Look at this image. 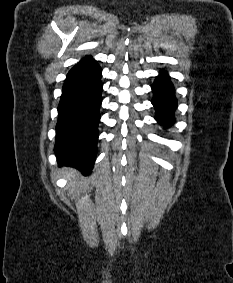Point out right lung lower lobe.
Listing matches in <instances>:
<instances>
[{
	"instance_id": "98d812e1",
	"label": "right lung lower lobe",
	"mask_w": 233,
	"mask_h": 283,
	"mask_svg": "<svg viewBox=\"0 0 233 283\" xmlns=\"http://www.w3.org/2000/svg\"><path fill=\"white\" fill-rule=\"evenodd\" d=\"M102 70L85 57L68 73L58 106L55 154L60 166L90 173L96 158Z\"/></svg>"
}]
</instances>
